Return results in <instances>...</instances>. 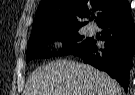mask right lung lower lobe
Returning a JSON list of instances; mask_svg holds the SVG:
<instances>
[{"mask_svg":"<svg viewBox=\"0 0 135 95\" xmlns=\"http://www.w3.org/2000/svg\"><path fill=\"white\" fill-rule=\"evenodd\" d=\"M99 27L103 29L101 40L105 41L104 46L98 47L96 40L90 39L73 55L80 57L84 63L107 72L126 90L135 53L134 21L129 14L118 20L106 21Z\"/></svg>","mask_w":135,"mask_h":95,"instance_id":"obj_1","label":"right lung lower lobe"}]
</instances>
